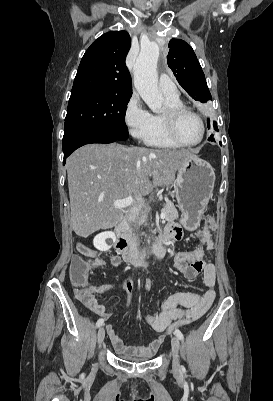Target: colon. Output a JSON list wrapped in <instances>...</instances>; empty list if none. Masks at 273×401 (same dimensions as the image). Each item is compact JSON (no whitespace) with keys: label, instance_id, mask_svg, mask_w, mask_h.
I'll use <instances>...</instances> for the list:
<instances>
[{"label":"colon","instance_id":"5ec220e1","mask_svg":"<svg viewBox=\"0 0 273 401\" xmlns=\"http://www.w3.org/2000/svg\"><path fill=\"white\" fill-rule=\"evenodd\" d=\"M92 264L90 261H86L85 257H73L72 261L68 262V269L71 279L69 285L72 287L73 293H76L78 297H90L91 292L97 293L100 290L99 285L93 284L91 278H87V270H90ZM146 290H152L153 284L146 283Z\"/></svg>","mask_w":273,"mask_h":401}]
</instances>
